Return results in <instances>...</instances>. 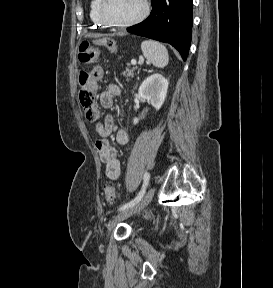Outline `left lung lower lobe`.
<instances>
[{
  "label": "left lung lower lobe",
  "mask_w": 273,
  "mask_h": 288,
  "mask_svg": "<svg viewBox=\"0 0 273 288\" xmlns=\"http://www.w3.org/2000/svg\"><path fill=\"white\" fill-rule=\"evenodd\" d=\"M152 5L149 17L127 31L169 43L186 60L192 35V0H152Z\"/></svg>",
  "instance_id": "1"
}]
</instances>
